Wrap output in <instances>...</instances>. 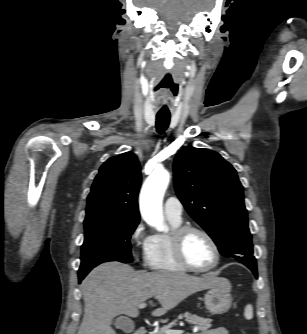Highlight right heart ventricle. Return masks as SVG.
<instances>
[{"label": "right heart ventricle", "mask_w": 307, "mask_h": 334, "mask_svg": "<svg viewBox=\"0 0 307 334\" xmlns=\"http://www.w3.org/2000/svg\"><path fill=\"white\" fill-rule=\"evenodd\" d=\"M169 222L172 226V229H175L181 225V222H173L171 220H169ZM144 259L146 266L155 271H185V269L177 262L174 257L171 247L170 234L152 235Z\"/></svg>", "instance_id": "obj_1"}]
</instances>
